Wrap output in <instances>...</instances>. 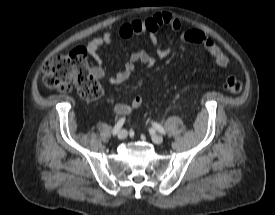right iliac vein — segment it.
Here are the masks:
<instances>
[{"instance_id": "63e3f726", "label": "right iliac vein", "mask_w": 275, "mask_h": 215, "mask_svg": "<svg viewBox=\"0 0 275 215\" xmlns=\"http://www.w3.org/2000/svg\"><path fill=\"white\" fill-rule=\"evenodd\" d=\"M128 132L126 130H121L118 133V139L123 140L127 137Z\"/></svg>"}]
</instances>
